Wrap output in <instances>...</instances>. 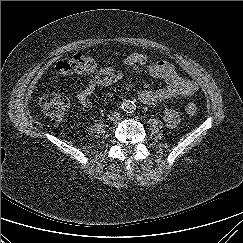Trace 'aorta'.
I'll list each match as a JSON object with an SVG mask.
<instances>
[{
  "instance_id": "obj_1",
  "label": "aorta",
  "mask_w": 243,
  "mask_h": 243,
  "mask_svg": "<svg viewBox=\"0 0 243 243\" xmlns=\"http://www.w3.org/2000/svg\"><path fill=\"white\" fill-rule=\"evenodd\" d=\"M121 108L126 113H132L135 110V103L131 100H125L121 104Z\"/></svg>"
}]
</instances>
